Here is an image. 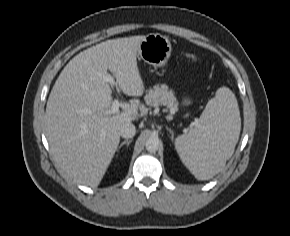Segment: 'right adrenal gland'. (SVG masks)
<instances>
[{"mask_svg": "<svg viewBox=\"0 0 290 236\" xmlns=\"http://www.w3.org/2000/svg\"><path fill=\"white\" fill-rule=\"evenodd\" d=\"M132 142V139H130V140H124L119 146H118V148H117V151H119L120 149H121V147L123 146V145H127V147L129 146V144Z\"/></svg>", "mask_w": 290, "mask_h": 236, "instance_id": "right-adrenal-gland-1", "label": "right adrenal gland"}]
</instances>
